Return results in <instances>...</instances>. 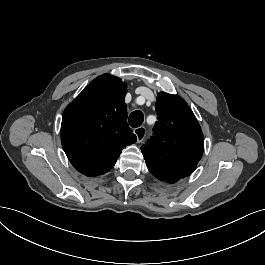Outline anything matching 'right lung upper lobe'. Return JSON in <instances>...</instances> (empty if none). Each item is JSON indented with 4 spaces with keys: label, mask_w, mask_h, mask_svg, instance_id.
<instances>
[{
    "label": "right lung upper lobe",
    "mask_w": 265,
    "mask_h": 265,
    "mask_svg": "<svg viewBox=\"0 0 265 265\" xmlns=\"http://www.w3.org/2000/svg\"><path fill=\"white\" fill-rule=\"evenodd\" d=\"M126 84L103 74L95 78L66 107L61 142L71 164L86 176H98L114 167L121 151L135 143L127 124Z\"/></svg>",
    "instance_id": "right-lung-upper-lobe-1"
}]
</instances>
